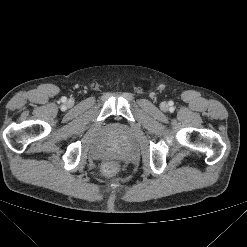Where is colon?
I'll list each match as a JSON object with an SVG mask.
<instances>
[{"mask_svg": "<svg viewBox=\"0 0 247 247\" xmlns=\"http://www.w3.org/2000/svg\"><path fill=\"white\" fill-rule=\"evenodd\" d=\"M102 171L106 176H111L118 171V164L112 161L106 162L102 166Z\"/></svg>", "mask_w": 247, "mask_h": 247, "instance_id": "1", "label": "colon"}]
</instances>
